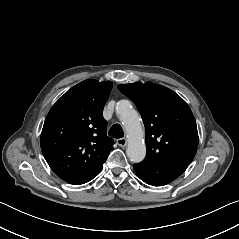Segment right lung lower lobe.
<instances>
[{"label": "right lung lower lobe", "instance_id": "right-lung-lower-lobe-1", "mask_svg": "<svg viewBox=\"0 0 239 239\" xmlns=\"http://www.w3.org/2000/svg\"><path fill=\"white\" fill-rule=\"evenodd\" d=\"M101 171V170H100ZM98 171L96 174L91 175V176H84V177H79V176H59L62 180L70 183V184H74V185H80V184H84L89 182L90 180H92L94 177H96L98 175V173L100 172Z\"/></svg>", "mask_w": 239, "mask_h": 239}]
</instances>
